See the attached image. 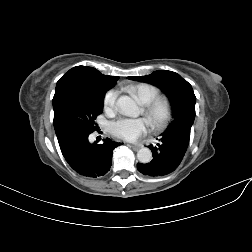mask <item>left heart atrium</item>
I'll return each instance as SVG.
<instances>
[{
    "mask_svg": "<svg viewBox=\"0 0 252 252\" xmlns=\"http://www.w3.org/2000/svg\"><path fill=\"white\" fill-rule=\"evenodd\" d=\"M147 126L144 118H122L112 123L110 129L116 137L133 141L146 131Z\"/></svg>",
    "mask_w": 252,
    "mask_h": 252,
    "instance_id": "left-heart-atrium-1",
    "label": "left heart atrium"
}]
</instances>
